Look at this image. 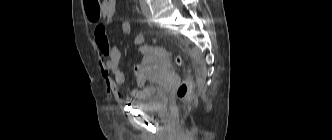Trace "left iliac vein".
<instances>
[{"label":"left iliac vein","instance_id":"4c4485c4","mask_svg":"<svg viewBox=\"0 0 332 140\" xmlns=\"http://www.w3.org/2000/svg\"><path fill=\"white\" fill-rule=\"evenodd\" d=\"M140 6H141L143 15L149 19L151 17V11H150L149 5L146 3L145 0H140Z\"/></svg>","mask_w":332,"mask_h":140}]
</instances>
